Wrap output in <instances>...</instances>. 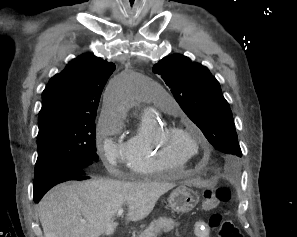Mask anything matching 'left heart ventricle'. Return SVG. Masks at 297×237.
Masks as SVG:
<instances>
[{"instance_id":"1","label":"left heart ventricle","mask_w":297,"mask_h":237,"mask_svg":"<svg viewBox=\"0 0 297 237\" xmlns=\"http://www.w3.org/2000/svg\"><path fill=\"white\" fill-rule=\"evenodd\" d=\"M176 144L185 154H194L197 151L196 144L192 139L178 137L176 138Z\"/></svg>"}]
</instances>
